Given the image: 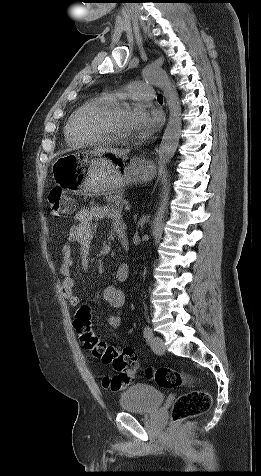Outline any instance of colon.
<instances>
[{
    "label": "colon",
    "instance_id": "5ec220e1",
    "mask_svg": "<svg viewBox=\"0 0 261 476\" xmlns=\"http://www.w3.org/2000/svg\"><path fill=\"white\" fill-rule=\"evenodd\" d=\"M48 202L53 217L61 218L73 211L72 200L61 187H54L49 192ZM74 326L85 348L104 363L111 364L118 373L113 377H105L104 387L121 391L129 386L138 368V357L135 351L131 348H117L101 339L92 329V313L87 306H82L77 311ZM148 376L163 388H176L193 381L188 374L168 367L149 370ZM211 402V396L206 390L194 389L184 393L172 406V419L174 422H181L198 416L210 408Z\"/></svg>",
    "mask_w": 261,
    "mask_h": 476
}]
</instances>
